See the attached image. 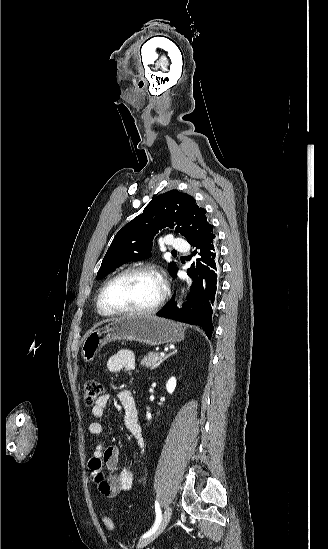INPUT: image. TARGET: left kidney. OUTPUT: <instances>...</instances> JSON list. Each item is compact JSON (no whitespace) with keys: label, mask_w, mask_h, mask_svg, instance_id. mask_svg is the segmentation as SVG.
<instances>
[{"label":"left kidney","mask_w":328,"mask_h":549,"mask_svg":"<svg viewBox=\"0 0 328 549\" xmlns=\"http://www.w3.org/2000/svg\"><path fill=\"white\" fill-rule=\"evenodd\" d=\"M175 387H176V379L175 377H171V379H169V381H167L166 383V389L168 391V393H174L175 391ZM147 419H151V413H149V411H147Z\"/></svg>","instance_id":"1"}]
</instances>
